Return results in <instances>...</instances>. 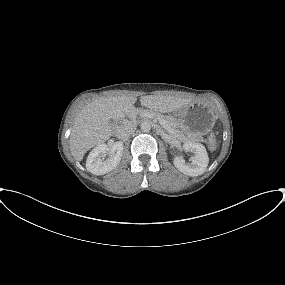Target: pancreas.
Masks as SVG:
<instances>
[{
    "label": "pancreas",
    "instance_id": "obj_1",
    "mask_svg": "<svg viewBox=\"0 0 285 285\" xmlns=\"http://www.w3.org/2000/svg\"><path fill=\"white\" fill-rule=\"evenodd\" d=\"M145 113L150 114L153 117H157L158 119L164 120L166 122V124L169 126L168 129H166V130L172 135L181 138L185 134H187L186 130L181 127L178 120L173 118V117L157 114V113H155L153 111H149V110H138L136 112V114H140V115H143ZM136 114L133 116V118L136 117ZM194 140L200 141V140H202V136H196V137H194Z\"/></svg>",
    "mask_w": 285,
    "mask_h": 285
}]
</instances>
